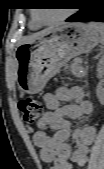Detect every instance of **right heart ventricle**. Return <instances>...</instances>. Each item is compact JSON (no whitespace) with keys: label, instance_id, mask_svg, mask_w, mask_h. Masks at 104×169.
<instances>
[{"label":"right heart ventricle","instance_id":"e07e8e85","mask_svg":"<svg viewBox=\"0 0 104 169\" xmlns=\"http://www.w3.org/2000/svg\"><path fill=\"white\" fill-rule=\"evenodd\" d=\"M39 26H40V24L37 23V22L35 21V19L33 18V19L31 20V22H30V27H31L32 29H36V28H38Z\"/></svg>","mask_w":104,"mask_h":169}]
</instances>
